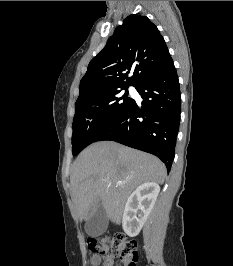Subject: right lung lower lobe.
<instances>
[{
	"instance_id": "right-lung-lower-lobe-1",
	"label": "right lung lower lobe",
	"mask_w": 233,
	"mask_h": 266,
	"mask_svg": "<svg viewBox=\"0 0 233 266\" xmlns=\"http://www.w3.org/2000/svg\"><path fill=\"white\" fill-rule=\"evenodd\" d=\"M136 90L135 101L96 141L111 140L151 153L171 169L180 122L179 81L172 58L147 76ZM95 141V142H96Z\"/></svg>"
}]
</instances>
